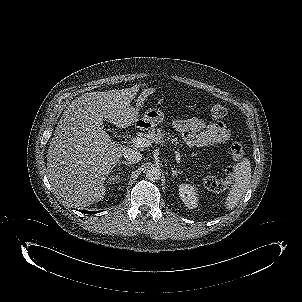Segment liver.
Segmentation results:
<instances>
[{"instance_id":"liver-1","label":"liver","mask_w":302,"mask_h":302,"mask_svg":"<svg viewBox=\"0 0 302 302\" xmlns=\"http://www.w3.org/2000/svg\"><path fill=\"white\" fill-rule=\"evenodd\" d=\"M132 88L88 92L73 100L62 114L50 141L47 168L60 195L75 206L99 202L104 181L119 162L126 146L112 142L103 121L127 128L137 120L130 106Z\"/></svg>"}]
</instances>
